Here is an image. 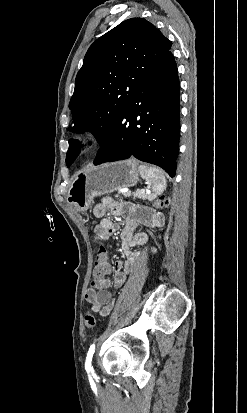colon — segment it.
I'll list each match as a JSON object with an SVG mask.
<instances>
[{
    "label": "colon",
    "instance_id": "colon-1",
    "mask_svg": "<svg viewBox=\"0 0 247 413\" xmlns=\"http://www.w3.org/2000/svg\"><path fill=\"white\" fill-rule=\"evenodd\" d=\"M155 204H159L161 206V208H166L170 205V199L168 197H165V196H160L155 201ZM93 240L94 241H99L100 240V235L99 234H94L93 235ZM97 257H98V259L94 260L92 262V273L94 275H99L100 273L102 275H107L108 274V269H109V262L107 260L110 257L108 249L106 247H101L99 249ZM84 324H85V327L88 330H93L96 326L95 316L93 314H91L90 312H86L84 314Z\"/></svg>",
    "mask_w": 247,
    "mask_h": 413
}]
</instances>
